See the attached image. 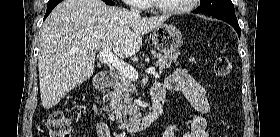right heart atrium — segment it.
I'll list each match as a JSON object with an SVG mask.
<instances>
[{
    "label": "right heart atrium",
    "mask_w": 280,
    "mask_h": 137,
    "mask_svg": "<svg viewBox=\"0 0 280 137\" xmlns=\"http://www.w3.org/2000/svg\"><path fill=\"white\" fill-rule=\"evenodd\" d=\"M129 4L138 10L146 9V0H129Z\"/></svg>",
    "instance_id": "obj_1"
}]
</instances>
